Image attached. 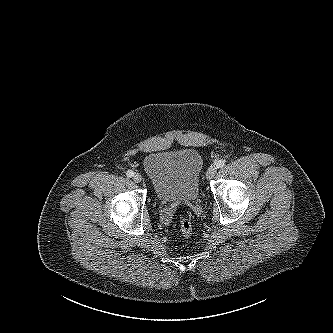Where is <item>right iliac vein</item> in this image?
I'll use <instances>...</instances> for the list:
<instances>
[{
	"instance_id": "1",
	"label": "right iliac vein",
	"mask_w": 333,
	"mask_h": 333,
	"mask_svg": "<svg viewBox=\"0 0 333 333\" xmlns=\"http://www.w3.org/2000/svg\"><path fill=\"white\" fill-rule=\"evenodd\" d=\"M133 180L134 182L139 183L142 180V176L139 173H134Z\"/></svg>"
}]
</instances>
